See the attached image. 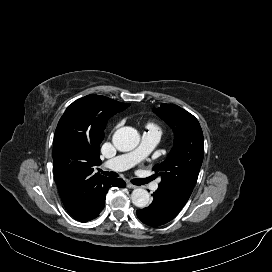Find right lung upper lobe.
<instances>
[{"mask_svg": "<svg viewBox=\"0 0 272 272\" xmlns=\"http://www.w3.org/2000/svg\"><path fill=\"white\" fill-rule=\"evenodd\" d=\"M130 104L88 95L69 105L59 120L53 145V172L67 211L78 221L97 207L110 178L94 173L107 120Z\"/></svg>", "mask_w": 272, "mask_h": 272, "instance_id": "right-lung-upper-lobe-1", "label": "right lung upper lobe"}]
</instances>
